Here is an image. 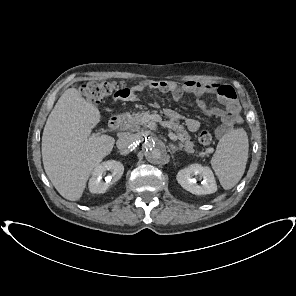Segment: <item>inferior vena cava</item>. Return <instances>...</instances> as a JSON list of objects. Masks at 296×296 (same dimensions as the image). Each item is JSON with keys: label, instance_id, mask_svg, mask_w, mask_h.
<instances>
[{"label": "inferior vena cava", "instance_id": "inferior-vena-cava-1", "mask_svg": "<svg viewBox=\"0 0 296 296\" xmlns=\"http://www.w3.org/2000/svg\"><path fill=\"white\" fill-rule=\"evenodd\" d=\"M135 142L133 135H125L117 140V148L120 150L126 149Z\"/></svg>", "mask_w": 296, "mask_h": 296}]
</instances>
